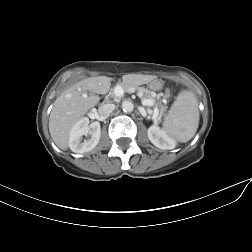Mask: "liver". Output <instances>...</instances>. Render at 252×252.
Segmentation results:
<instances>
[{
	"mask_svg": "<svg viewBox=\"0 0 252 252\" xmlns=\"http://www.w3.org/2000/svg\"><path fill=\"white\" fill-rule=\"evenodd\" d=\"M150 75L127 74L122 77L123 85L135 87L150 82ZM112 78L90 77L65 89L54 102L49 117V132L54 143L62 150L68 148L72 127L99 101L96 94H104Z\"/></svg>",
	"mask_w": 252,
	"mask_h": 252,
	"instance_id": "6515ba94",
	"label": "liver"
}]
</instances>
